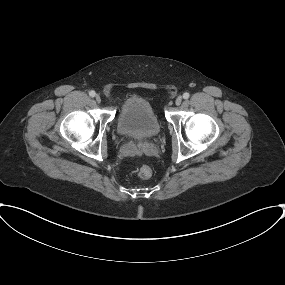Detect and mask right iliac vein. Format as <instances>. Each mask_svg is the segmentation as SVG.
Returning <instances> with one entry per match:
<instances>
[{
  "mask_svg": "<svg viewBox=\"0 0 285 285\" xmlns=\"http://www.w3.org/2000/svg\"><path fill=\"white\" fill-rule=\"evenodd\" d=\"M95 100L97 101V103H100L101 102V97L99 95H96L95 96Z\"/></svg>",
  "mask_w": 285,
  "mask_h": 285,
  "instance_id": "63e3f726",
  "label": "right iliac vein"
}]
</instances>
